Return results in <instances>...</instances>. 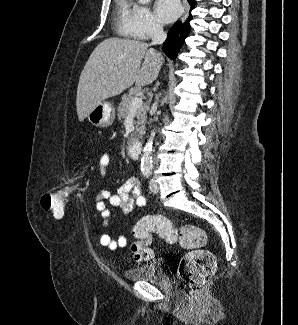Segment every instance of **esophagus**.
<instances>
[{"label":"esophagus","instance_id":"obj_1","mask_svg":"<svg viewBox=\"0 0 298 325\" xmlns=\"http://www.w3.org/2000/svg\"><path fill=\"white\" fill-rule=\"evenodd\" d=\"M188 14H189V8L186 7V8H185V12H184V14H183V15L181 16V18H180L181 22H185V21H186V19H187V17H188Z\"/></svg>","mask_w":298,"mask_h":325}]
</instances>
